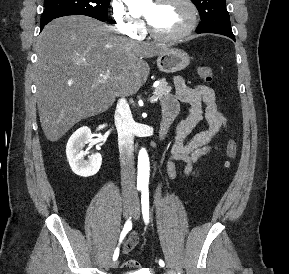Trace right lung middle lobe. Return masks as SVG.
Here are the masks:
<instances>
[{
	"label": "right lung middle lobe",
	"mask_w": 289,
	"mask_h": 274,
	"mask_svg": "<svg viewBox=\"0 0 289 274\" xmlns=\"http://www.w3.org/2000/svg\"><path fill=\"white\" fill-rule=\"evenodd\" d=\"M110 0H44L41 22L68 15H86L106 21Z\"/></svg>",
	"instance_id": "right-lung-middle-lobe-1"
}]
</instances>
